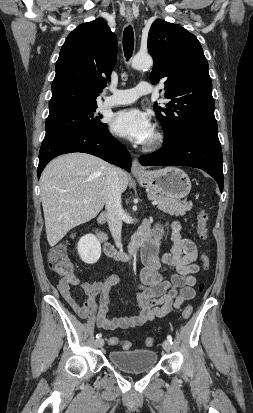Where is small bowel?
Instances as JSON below:
<instances>
[{
  "label": "small bowel",
  "mask_w": 253,
  "mask_h": 413,
  "mask_svg": "<svg viewBox=\"0 0 253 413\" xmlns=\"http://www.w3.org/2000/svg\"><path fill=\"white\" fill-rule=\"evenodd\" d=\"M171 249L158 255L159 240L163 228L158 225L153 230V238L143 246L141 260L143 268L140 282L134 285L139 289L137 301L139 310L136 314L124 317H109L110 290L119 282L116 275L108 276L104 281L81 282L73 273L58 282V290L72 310L81 318L94 317L99 328L105 330L127 329L142 326L157 318L164 317L172 309H179L184 302L195 297L194 276L200 269L196 263L197 248L195 243L181 236L178 222L172 224ZM173 270L165 279L162 271ZM71 286H80L85 293V300L79 303L71 292ZM100 294V303L95 297Z\"/></svg>",
  "instance_id": "obj_1"
}]
</instances>
